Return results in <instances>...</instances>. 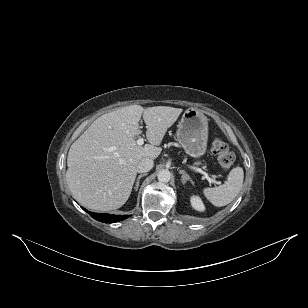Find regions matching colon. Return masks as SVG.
<instances>
[{"label": "colon", "instance_id": "colon-1", "mask_svg": "<svg viewBox=\"0 0 308 308\" xmlns=\"http://www.w3.org/2000/svg\"><path fill=\"white\" fill-rule=\"evenodd\" d=\"M210 150L217 157L218 164L223 171H227L232 167L234 154L225 141L214 138L211 141Z\"/></svg>", "mask_w": 308, "mask_h": 308}]
</instances>
